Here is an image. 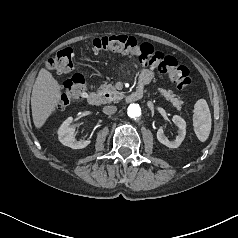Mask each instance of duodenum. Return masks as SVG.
I'll use <instances>...</instances> for the list:
<instances>
[{
    "label": "duodenum",
    "mask_w": 238,
    "mask_h": 238,
    "mask_svg": "<svg viewBox=\"0 0 238 238\" xmlns=\"http://www.w3.org/2000/svg\"><path fill=\"white\" fill-rule=\"evenodd\" d=\"M142 97V88L138 87L135 91L132 93L128 94L125 97V101L127 103H132L140 100ZM88 102L91 105H100L104 103V96L103 94L100 93H90L88 96Z\"/></svg>",
    "instance_id": "1"
}]
</instances>
